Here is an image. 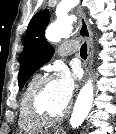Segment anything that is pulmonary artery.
I'll list each match as a JSON object with an SVG mask.
<instances>
[{
    "instance_id": "1",
    "label": "pulmonary artery",
    "mask_w": 116,
    "mask_h": 134,
    "mask_svg": "<svg viewBox=\"0 0 116 134\" xmlns=\"http://www.w3.org/2000/svg\"><path fill=\"white\" fill-rule=\"evenodd\" d=\"M77 50H78L77 41H69L60 46L59 53L61 55H69L77 52Z\"/></svg>"
}]
</instances>
